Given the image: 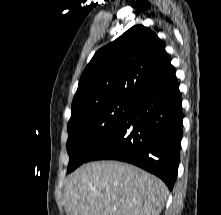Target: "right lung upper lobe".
Here are the masks:
<instances>
[{"mask_svg": "<svg viewBox=\"0 0 221 215\" xmlns=\"http://www.w3.org/2000/svg\"><path fill=\"white\" fill-rule=\"evenodd\" d=\"M174 76L158 36L135 25L95 53L81 75L71 107L112 99L134 101Z\"/></svg>", "mask_w": 221, "mask_h": 215, "instance_id": "obj_1", "label": "right lung upper lobe"}]
</instances>
